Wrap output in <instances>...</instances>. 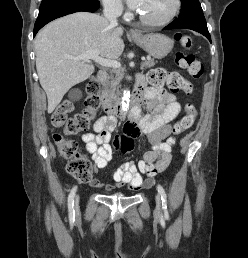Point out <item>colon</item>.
<instances>
[{
    "mask_svg": "<svg viewBox=\"0 0 248 258\" xmlns=\"http://www.w3.org/2000/svg\"><path fill=\"white\" fill-rule=\"evenodd\" d=\"M175 39L186 49H190L193 45L192 38L189 35L177 33ZM175 62L180 68L185 69L192 78L198 79L202 76L203 66L195 55L178 52L175 55ZM148 80L154 86L167 85L172 91L182 90L187 94L192 92V87L182 80L178 74L161 68L151 70L148 74ZM100 92V83L92 78L86 86L87 98L83 112L73 118H68L74 104L71 100H64L51 115L52 125L63 128V132L53 134V141L58 153L69 160L68 173L81 183L92 181L93 169L90 162L79 152L77 143L67 136L85 131L89 127L90 121L101 104ZM196 114L195 107L192 104H187L184 115L173 126L172 134L178 135L187 131L193 125ZM113 144L116 149H123V155H133L134 153L135 144H132V139L126 134L121 138H115ZM155 171L156 167L150 166L147 169L149 177H152Z\"/></svg>",
    "mask_w": 248,
    "mask_h": 258,
    "instance_id": "1",
    "label": "colon"
}]
</instances>
